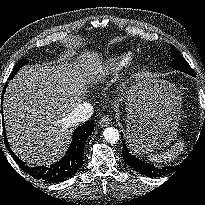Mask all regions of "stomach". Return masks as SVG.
<instances>
[{
    "label": "stomach",
    "instance_id": "0dacf381",
    "mask_svg": "<svg viewBox=\"0 0 205 205\" xmlns=\"http://www.w3.org/2000/svg\"><path fill=\"white\" fill-rule=\"evenodd\" d=\"M178 89L165 81L136 80L129 91L127 137L140 151L168 146L177 136L181 120Z\"/></svg>",
    "mask_w": 205,
    "mask_h": 205
}]
</instances>
